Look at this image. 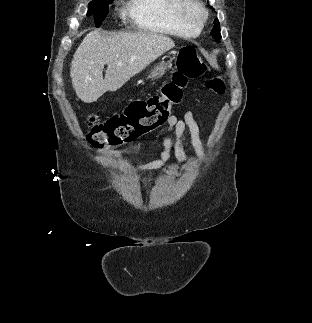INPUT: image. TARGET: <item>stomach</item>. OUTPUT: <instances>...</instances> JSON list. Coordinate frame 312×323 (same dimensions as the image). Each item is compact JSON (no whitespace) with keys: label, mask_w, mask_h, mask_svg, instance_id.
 I'll use <instances>...</instances> for the list:
<instances>
[{"label":"stomach","mask_w":312,"mask_h":323,"mask_svg":"<svg viewBox=\"0 0 312 323\" xmlns=\"http://www.w3.org/2000/svg\"><path fill=\"white\" fill-rule=\"evenodd\" d=\"M172 64L169 62V64H159V66H155L154 70H152L149 78H160V76H163L165 74L166 70H169L171 68Z\"/></svg>","instance_id":"obj_1"}]
</instances>
